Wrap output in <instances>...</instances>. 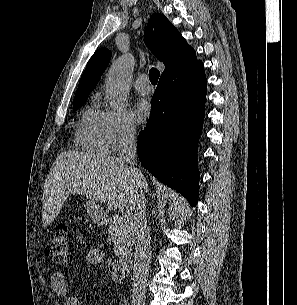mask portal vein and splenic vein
Segmentation results:
<instances>
[{"label": "portal vein and splenic vein", "instance_id": "18ae733b", "mask_svg": "<svg viewBox=\"0 0 297 305\" xmlns=\"http://www.w3.org/2000/svg\"><path fill=\"white\" fill-rule=\"evenodd\" d=\"M120 216H121V218H128L129 217V213L125 212V213H122Z\"/></svg>", "mask_w": 297, "mask_h": 305}]
</instances>
